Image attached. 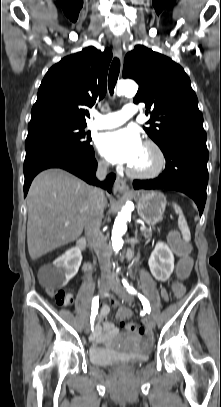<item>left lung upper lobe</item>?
<instances>
[{
	"label": "left lung upper lobe",
	"mask_w": 221,
	"mask_h": 407,
	"mask_svg": "<svg viewBox=\"0 0 221 407\" xmlns=\"http://www.w3.org/2000/svg\"><path fill=\"white\" fill-rule=\"evenodd\" d=\"M123 77L139 84L134 102H144L150 114L143 127L162 149L170 137L184 130L203 131V116L184 69L169 57L143 45L135 46L124 60Z\"/></svg>",
	"instance_id": "obj_1"
}]
</instances>
